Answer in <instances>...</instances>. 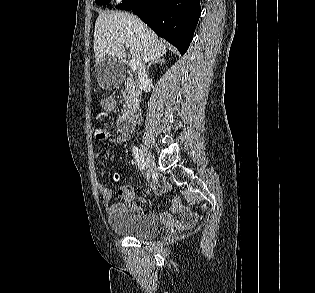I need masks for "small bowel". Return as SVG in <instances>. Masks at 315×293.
Instances as JSON below:
<instances>
[{
  "mask_svg": "<svg viewBox=\"0 0 315 293\" xmlns=\"http://www.w3.org/2000/svg\"><path fill=\"white\" fill-rule=\"evenodd\" d=\"M129 138L127 133H119L118 135L111 137L109 143L124 144ZM104 151L100 152L96 160L101 159ZM99 193L102 195V201L108 212H121L132 211L135 213H142L143 210L139 207L135 200L134 190L131 186H123L126 190H122L121 197L123 202L113 203V192L110 187L105 186L100 181L96 183ZM153 191L155 194L160 195L165 191V187L161 184H154ZM140 202H144L143 198H140ZM159 219L166 225L175 227L177 229H184L195 224L197 220L196 214L182 204L179 196H175L170 204L169 210L160 214Z\"/></svg>",
  "mask_w": 315,
  "mask_h": 293,
  "instance_id": "obj_1",
  "label": "small bowel"
}]
</instances>
